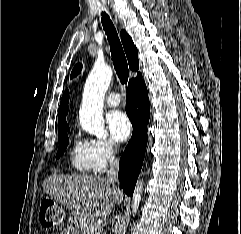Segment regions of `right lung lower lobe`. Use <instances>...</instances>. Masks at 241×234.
Wrapping results in <instances>:
<instances>
[{
  "label": "right lung lower lobe",
  "mask_w": 241,
  "mask_h": 234,
  "mask_svg": "<svg viewBox=\"0 0 241 234\" xmlns=\"http://www.w3.org/2000/svg\"><path fill=\"white\" fill-rule=\"evenodd\" d=\"M126 113L133 125V133L120 159L118 178L124 192L132 196L145 155L150 117L148 91L141 74L128 83Z\"/></svg>",
  "instance_id": "right-lung-lower-lobe-1"
}]
</instances>
